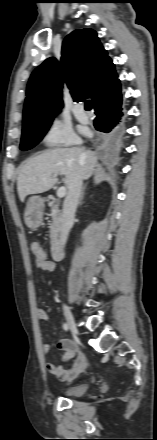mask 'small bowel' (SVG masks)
I'll use <instances>...</instances> for the list:
<instances>
[{
  "label": "small bowel",
  "instance_id": "1",
  "mask_svg": "<svg viewBox=\"0 0 157 440\" xmlns=\"http://www.w3.org/2000/svg\"><path fill=\"white\" fill-rule=\"evenodd\" d=\"M55 268L52 262H49L44 271H53ZM37 316L41 321H47L49 316L46 311L39 309ZM58 348L65 351L63 362L67 363L72 360L71 365L65 367L63 365H55L53 363H46V369L56 378L62 381H71L76 378L86 367V356L80 352L76 345L68 340L61 339L57 344ZM43 352L47 353L50 350V344L44 343L42 346Z\"/></svg>",
  "mask_w": 157,
  "mask_h": 440
}]
</instances>
